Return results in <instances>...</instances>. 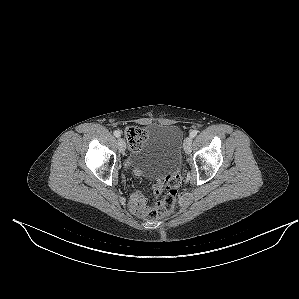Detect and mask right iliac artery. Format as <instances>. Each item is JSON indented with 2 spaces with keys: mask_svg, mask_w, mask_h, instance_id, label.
I'll return each instance as SVG.
<instances>
[{
  "mask_svg": "<svg viewBox=\"0 0 299 299\" xmlns=\"http://www.w3.org/2000/svg\"><path fill=\"white\" fill-rule=\"evenodd\" d=\"M114 135H115L116 137H120V136H121V133H120V131L115 130V131H114Z\"/></svg>",
  "mask_w": 299,
  "mask_h": 299,
  "instance_id": "82829eb1",
  "label": "right iliac artery"
}]
</instances>
